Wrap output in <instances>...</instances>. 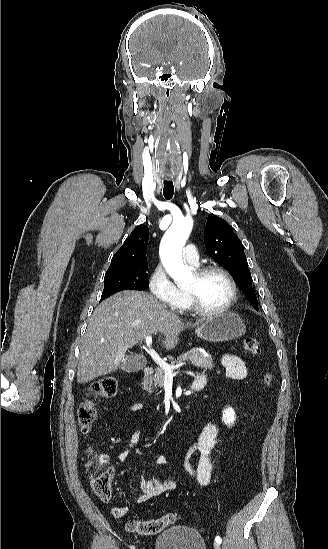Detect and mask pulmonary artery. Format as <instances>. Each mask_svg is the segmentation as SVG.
<instances>
[{"label":"pulmonary artery","instance_id":"e3ab8cb5","mask_svg":"<svg viewBox=\"0 0 328 549\" xmlns=\"http://www.w3.org/2000/svg\"><path fill=\"white\" fill-rule=\"evenodd\" d=\"M201 250L199 246H188L183 251V259L187 263H195L198 262L199 256H200Z\"/></svg>","mask_w":328,"mask_h":549}]
</instances>
